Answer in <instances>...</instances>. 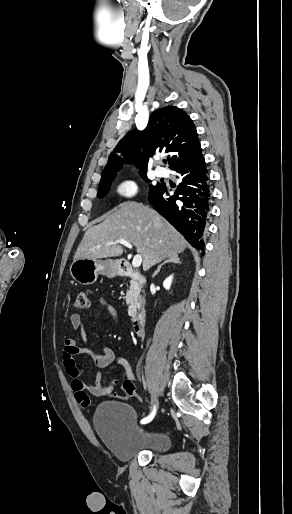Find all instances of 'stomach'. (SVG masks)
Here are the masks:
<instances>
[{
    "label": "stomach",
    "instance_id": "obj_1",
    "mask_svg": "<svg viewBox=\"0 0 292 514\" xmlns=\"http://www.w3.org/2000/svg\"><path fill=\"white\" fill-rule=\"evenodd\" d=\"M70 274L78 284L90 286L96 282L99 274L107 278H115L120 274L118 260H89V258H79L74 260L70 266Z\"/></svg>",
    "mask_w": 292,
    "mask_h": 514
}]
</instances>
